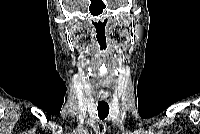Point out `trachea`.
Wrapping results in <instances>:
<instances>
[{
  "label": "trachea",
  "instance_id": "trachea-1",
  "mask_svg": "<svg viewBox=\"0 0 200 134\" xmlns=\"http://www.w3.org/2000/svg\"><path fill=\"white\" fill-rule=\"evenodd\" d=\"M98 116L100 119H105L109 114V105L106 102H98Z\"/></svg>",
  "mask_w": 200,
  "mask_h": 134
}]
</instances>
